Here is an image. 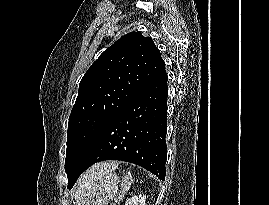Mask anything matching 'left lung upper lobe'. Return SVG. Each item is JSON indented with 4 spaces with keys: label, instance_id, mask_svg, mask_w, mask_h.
Wrapping results in <instances>:
<instances>
[{
    "label": "left lung upper lobe",
    "instance_id": "1",
    "mask_svg": "<svg viewBox=\"0 0 269 205\" xmlns=\"http://www.w3.org/2000/svg\"><path fill=\"white\" fill-rule=\"evenodd\" d=\"M164 69L165 62L153 40L140 32L122 36L91 65L80 82L69 117L68 183L102 130Z\"/></svg>",
    "mask_w": 269,
    "mask_h": 205
}]
</instances>
